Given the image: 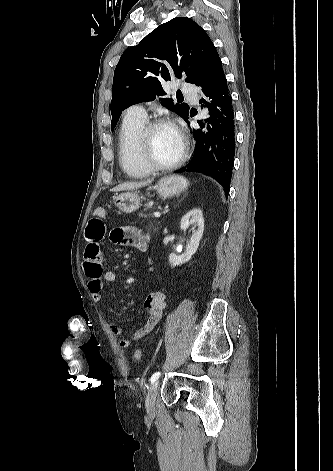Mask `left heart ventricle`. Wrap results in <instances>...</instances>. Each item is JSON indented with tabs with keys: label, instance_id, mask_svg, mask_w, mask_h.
<instances>
[{
	"label": "left heart ventricle",
	"instance_id": "1",
	"mask_svg": "<svg viewBox=\"0 0 333 471\" xmlns=\"http://www.w3.org/2000/svg\"><path fill=\"white\" fill-rule=\"evenodd\" d=\"M181 145L179 133L170 126L159 127L151 136L152 154L160 163H170L175 160Z\"/></svg>",
	"mask_w": 333,
	"mask_h": 471
}]
</instances>
